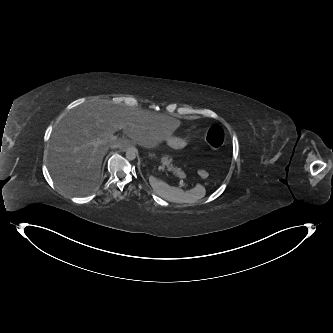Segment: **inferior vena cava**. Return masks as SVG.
Segmentation results:
<instances>
[{
  "label": "inferior vena cava",
  "mask_w": 333,
  "mask_h": 333,
  "mask_svg": "<svg viewBox=\"0 0 333 333\" xmlns=\"http://www.w3.org/2000/svg\"><path fill=\"white\" fill-rule=\"evenodd\" d=\"M110 147H111V148H120L121 146H120V144H118V143H114V144H112Z\"/></svg>",
  "instance_id": "1"
}]
</instances>
